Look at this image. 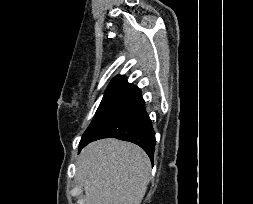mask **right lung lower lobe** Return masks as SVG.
I'll return each mask as SVG.
<instances>
[{
    "instance_id": "obj_1",
    "label": "right lung lower lobe",
    "mask_w": 253,
    "mask_h": 204,
    "mask_svg": "<svg viewBox=\"0 0 253 204\" xmlns=\"http://www.w3.org/2000/svg\"><path fill=\"white\" fill-rule=\"evenodd\" d=\"M102 138H117L139 145L153 162L155 132L145 111V102L137 89L124 100L79 147V152L88 143Z\"/></svg>"
}]
</instances>
